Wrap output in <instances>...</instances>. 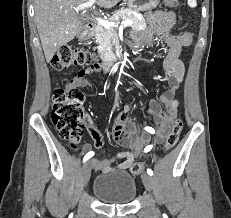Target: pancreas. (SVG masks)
I'll return each mask as SVG.
<instances>
[{"instance_id":"pancreas-1","label":"pancreas","mask_w":231,"mask_h":218,"mask_svg":"<svg viewBox=\"0 0 231 218\" xmlns=\"http://www.w3.org/2000/svg\"><path fill=\"white\" fill-rule=\"evenodd\" d=\"M121 19L131 20L133 22L132 29L136 31H141L146 28V23L144 20L139 19L133 14V10L128 8H122L116 11L108 21L119 22ZM117 36L116 30L114 28H106L101 24H98L95 28V40L99 44L102 51H110L113 47L111 41Z\"/></svg>"}]
</instances>
